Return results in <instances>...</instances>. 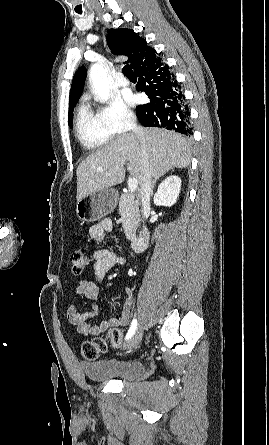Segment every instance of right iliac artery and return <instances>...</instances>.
<instances>
[{"label":"right iliac artery","mask_w":269,"mask_h":445,"mask_svg":"<svg viewBox=\"0 0 269 445\" xmlns=\"http://www.w3.org/2000/svg\"><path fill=\"white\" fill-rule=\"evenodd\" d=\"M136 328H137V320H136V319H133V321H132V323H131V326H130V329H129L127 335H126V339H129V338L132 337V335H133V334L135 333V331H136Z\"/></svg>","instance_id":"right-iliac-artery-1"}]
</instances>
